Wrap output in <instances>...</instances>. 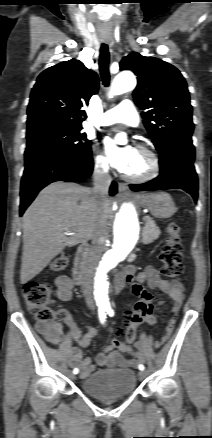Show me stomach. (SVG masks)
<instances>
[{"mask_svg": "<svg viewBox=\"0 0 212 438\" xmlns=\"http://www.w3.org/2000/svg\"><path fill=\"white\" fill-rule=\"evenodd\" d=\"M139 202L157 218H169L176 212L171 196L165 192L143 194Z\"/></svg>", "mask_w": 212, "mask_h": 438, "instance_id": "0dacf381", "label": "stomach"}]
</instances>
